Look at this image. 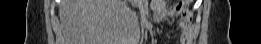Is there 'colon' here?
I'll list each match as a JSON object with an SVG mask.
<instances>
[{
    "instance_id": "colon-1",
    "label": "colon",
    "mask_w": 261,
    "mask_h": 44,
    "mask_svg": "<svg viewBox=\"0 0 261 44\" xmlns=\"http://www.w3.org/2000/svg\"><path fill=\"white\" fill-rule=\"evenodd\" d=\"M175 5H176V6H180V7L189 6V5H190V1H188V0L176 1V2H175Z\"/></svg>"
}]
</instances>
